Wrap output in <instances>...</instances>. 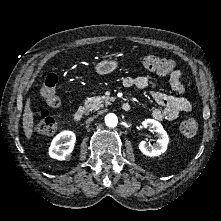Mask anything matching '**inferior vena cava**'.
<instances>
[{"mask_svg":"<svg viewBox=\"0 0 221 221\" xmlns=\"http://www.w3.org/2000/svg\"><path fill=\"white\" fill-rule=\"evenodd\" d=\"M94 118H95V116H93V117H89V118L86 120V123H90L91 121L94 120Z\"/></svg>","mask_w":221,"mask_h":221,"instance_id":"inferior-vena-cava-1","label":"inferior vena cava"}]
</instances>
